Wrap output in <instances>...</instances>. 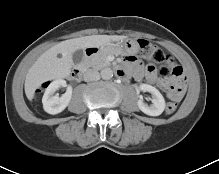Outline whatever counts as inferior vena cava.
I'll return each instance as SVG.
<instances>
[{"mask_svg":"<svg viewBox=\"0 0 219 174\" xmlns=\"http://www.w3.org/2000/svg\"><path fill=\"white\" fill-rule=\"evenodd\" d=\"M83 77L85 82L97 81L100 79V74L96 70H88L84 73Z\"/></svg>","mask_w":219,"mask_h":174,"instance_id":"602c4592","label":"inferior vena cava"}]
</instances>
